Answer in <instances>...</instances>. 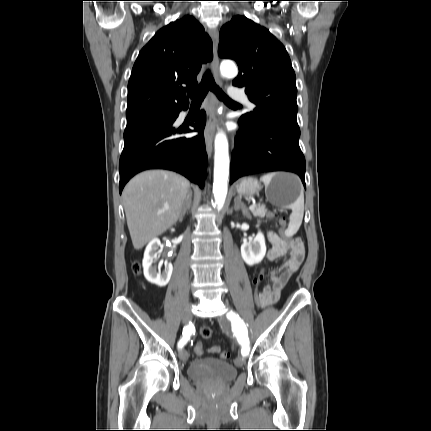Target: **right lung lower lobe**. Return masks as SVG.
Returning a JSON list of instances; mask_svg holds the SVG:
<instances>
[{
	"mask_svg": "<svg viewBox=\"0 0 431 431\" xmlns=\"http://www.w3.org/2000/svg\"><path fill=\"white\" fill-rule=\"evenodd\" d=\"M187 108L188 105L175 112L127 122L119 165L120 193L130 178L147 169L176 171L201 188L204 186L207 164L203 137L205 112L201 111L191 122L195 131L200 132L195 137H180L192 130L173 127L179 112Z\"/></svg>",
	"mask_w": 431,
	"mask_h": 431,
	"instance_id": "right-lung-lower-lobe-1",
	"label": "right lung lower lobe"
}]
</instances>
